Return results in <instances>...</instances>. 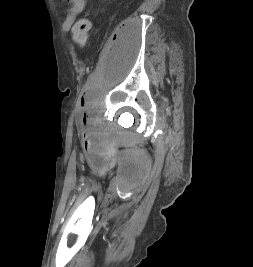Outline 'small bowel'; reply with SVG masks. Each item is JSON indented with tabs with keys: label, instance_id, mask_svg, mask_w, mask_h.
Listing matches in <instances>:
<instances>
[{
	"label": "small bowel",
	"instance_id": "1",
	"mask_svg": "<svg viewBox=\"0 0 253 267\" xmlns=\"http://www.w3.org/2000/svg\"><path fill=\"white\" fill-rule=\"evenodd\" d=\"M66 2L68 8L62 21V27L68 31L76 22L78 15L86 9L87 0H66Z\"/></svg>",
	"mask_w": 253,
	"mask_h": 267
}]
</instances>
